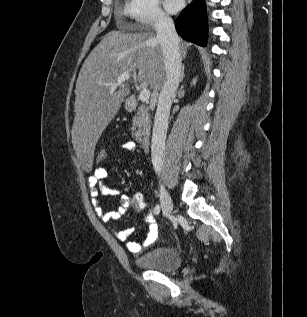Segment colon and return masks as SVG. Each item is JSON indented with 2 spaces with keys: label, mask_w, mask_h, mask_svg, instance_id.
Returning a JSON list of instances; mask_svg holds the SVG:
<instances>
[{
  "label": "colon",
  "mask_w": 307,
  "mask_h": 317,
  "mask_svg": "<svg viewBox=\"0 0 307 317\" xmlns=\"http://www.w3.org/2000/svg\"><path fill=\"white\" fill-rule=\"evenodd\" d=\"M107 155V151L104 148H98L95 152V161L101 164L105 162ZM130 203L138 213H143L146 209V203L141 193H134L130 199Z\"/></svg>",
  "instance_id": "obj_1"
}]
</instances>
